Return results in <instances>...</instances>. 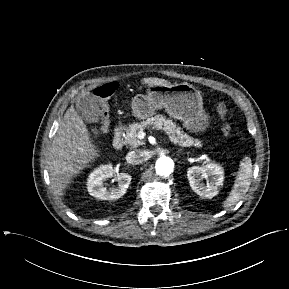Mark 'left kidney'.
Segmentation results:
<instances>
[{"mask_svg": "<svg viewBox=\"0 0 289 289\" xmlns=\"http://www.w3.org/2000/svg\"><path fill=\"white\" fill-rule=\"evenodd\" d=\"M187 177L192 190L203 198H213L223 185L224 171L217 163L205 166H192L187 171ZM206 180V183L203 181Z\"/></svg>", "mask_w": 289, "mask_h": 289, "instance_id": "1", "label": "left kidney"}]
</instances>
